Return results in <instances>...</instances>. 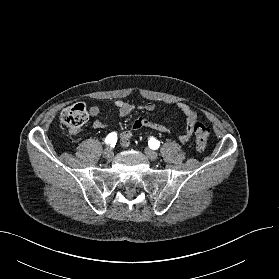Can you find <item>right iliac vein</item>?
<instances>
[{
    "mask_svg": "<svg viewBox=\"0 0 279 279\" xmlns=\"http://www.w3.org/2000/svg\"><path fill=\"white\" fill-rule=\"evenodd\" d=\"M103 157H105L106 159H111L113 157V150L111 147H107L103 151Z\"/></svg>",
    "mask_w": 279,
    "mask_h": 279,
    "instance_id": "1",
    "label": "right iliac vein"
}]
</instances>
